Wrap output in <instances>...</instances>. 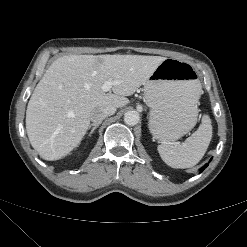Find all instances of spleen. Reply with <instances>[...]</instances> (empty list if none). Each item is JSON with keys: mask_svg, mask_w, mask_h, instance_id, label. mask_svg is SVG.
I'll return each instance as SVG.
<instances>
[{"mask_svg": "<svg viewBox=\"0 0 247 247\" xmlns=\"http://www.w3.org/2000/svg\"><path fill=\"white\" fill-rule=\"evenodd\" d=\"M212 138V125L208 115L202 117L199 128L182 144L163 143L157 150L162 160L173 168H190L204 156Z\"/></svg>", "mask_w": 247, "mask_h": 247, "instance_id": "spleen-1", "label": "spleen"}]
</instances>
